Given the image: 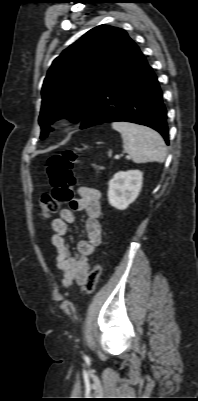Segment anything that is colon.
<instances>
[{
	"mask_svg": "<svg viewBox=\"0 0 198 401\" xmlns=\"http://www.w3.org/2000/svg\"><path fill=\"white\" fill-rule=\"evenodd\" d=\"M75 155L68 151L63 154L53 155L47 163V175L52 187L51 194H44L39 201L40 213L44 218H49L56 213L60 206L74 200L73 188L75 177L73 164ZM102 266L97 263L91 270L85 284L88 293H92L101 280Z\"/></svg>",
	"mask_w": 198,
	"mask_h": 401,
	"instance_id": "colon-1",
	"label": "colon"
}]
</instances>
